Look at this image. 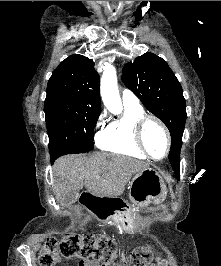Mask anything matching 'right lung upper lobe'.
<instances>
[{"label": "right lung upper lobe", "instance_id": "1", "mask_svg": "<svg viewBox=\"0 0 221 266\" xmlns=\"http://www.w3.org/2000/svg\"><path fill=\"white\" fill-rule=\"evenodd\" d=\"M100 77L93 60L74 54L63 60L54 70L47 85L48 94H62L75 98L81 106L100 112Z\"/></svg>", "mask_w": 221, "mask_h": 266}]
</instances>
